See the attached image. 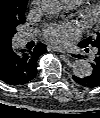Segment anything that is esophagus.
Segmentation results:
<instances>
[{
  "mask_svg": "<svg viewBox=\"0 0 100 118\" xmlns=\"http://www.w3.org/2000/svg\"><path fill=\"white\" fill-rule=\"evenodd\" d=\"M47 49L49 50V51H56V52H61V53H66L65 51H63V50H61V49H59V48H57V47H54V46H50V45H48L47 46Z\"/></svg>",
  "mask_w": 100,
  "mask_h": 118,
  "instance_id": "1",
  "label": "esophagus"
}]
</instances>
